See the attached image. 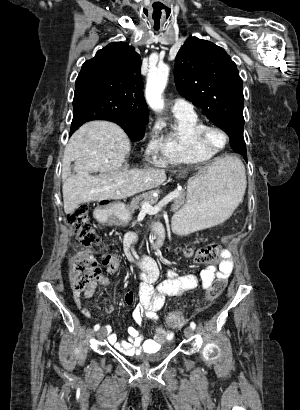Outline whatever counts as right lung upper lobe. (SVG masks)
Instances as JSON below:
<instances>
[{"mask_svg":"<svg viewBox=\"0 0 300 410\" xmlns=\"http://www.w3.org/2000/svg\"><path fill=\"white\" fill-rule=\"evenodd\" d=\"M140 67V56L132 46L125 42H114L82 65L75 87L100 90L112 105V113L116 116L149 120Z\"/></svg>","mask_w":300,"mask_h":410,"instance_id":"1","label":"right lung upper lobe"}]
</instances>
